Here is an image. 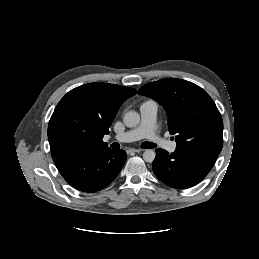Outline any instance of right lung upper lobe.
<instances>
[{"instance_id":"right-lung-upper-lobe-1","label":"right lung upper lobe","mask_w":259,"mask_h":259,"mask_svg":"<svg viewBox=\"0 0 259 259\" xmlns=\"http://www.w3.org/2000/svg\"><path fill=\"white\" fill-rule=\"evenodd\" d=\"M136 92L100 82L69 91L57 104L48 125L53 160L108 149L102 138L109 133L119 107Z\"/></svg>"}]
</instances>
